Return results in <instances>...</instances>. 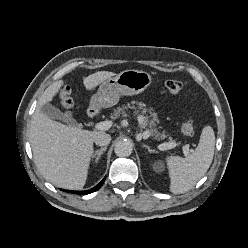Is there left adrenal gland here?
<instances>
[{"instance_id":"obj_1","label":"left adrenal gland","mask_w":248,"mask_h":248,"mask_svg":"<svg viewBox=\"0 0 248 248\" xmlns=\"http://www.w3.org/2000/svg\"><path fill=\"white\" fill-rule=\"evenodd\" d=\"M143 147H145L149 153H155V150L150 149L148 145L144 144Z\"/></svg>"}]
</instances>
